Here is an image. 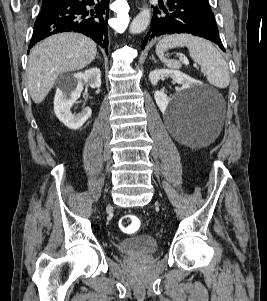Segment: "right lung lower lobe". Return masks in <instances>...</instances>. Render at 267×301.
Wrapping results in <instances>:
<instances>
[{
  "instance_id": "98d812e1",
  "label": "right lung lower lobe",
  "mask_w": 267,
  "mask_h": 301,
  "mask_svg": "<svg viewBox=\"0 0 267 301\" xmlns=\"http://www.w3.org/2000/svg\"><path fill=\"white\" fill-rule=\"evenodd\" d=\"M108 7L109 0H58L42 6L29 49L47 36L74 31L91 37L107 53Z\"/></svg>"
}]
</instances>
